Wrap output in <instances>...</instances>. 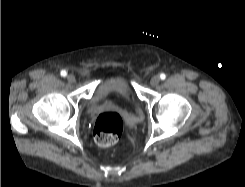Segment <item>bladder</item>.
Returning <instances> with one entry per match:
<instances>
[{
  "instance_id": "1",
  "label": "bladder",
  "mask_w": 245,
  "mask_h": 187,
  "mask_svg": "<svg viewBox=\"0 0 245 187\" xmlns=\"http://www.w3.org/2000/svg\"><path fill=\"white\" fill-rule=\"evenodd\" d=\"M121 94L131 99V92L127 82L121 78L104 79L99 82L90 98V105L96 109L103 106H112L111 94Z\"/></svg>"
}]
</instances>
